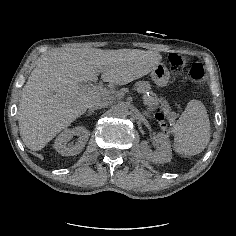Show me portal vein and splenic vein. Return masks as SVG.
<instances>
[{
    "mask_svg": "<svg viewBox=\"0 0 236 236\" xmlns=\"http://www.w3.org/2000/svg\"><path fill=\"white\" fill-rule=\"evenodd\" d=\"M81 88H82L83 90H85V91L92 89L93 91H95V92H100V93H102V94L107 93V92H105V90L103 89V83H99V84H97V85H95V84H90V83L82 84V85H81Z\"/></svg>",
    "mask_w": 236,
    "mask_h": 236,
    "instance_id": "obj_1",
    "label": "portal vein and splenic vein"
}]
</instances>
